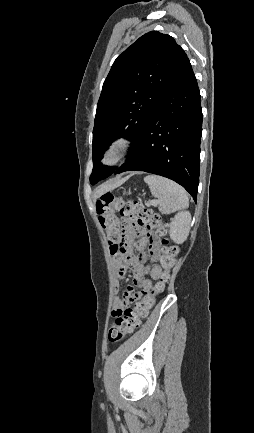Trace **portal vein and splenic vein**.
<instances>
[{
	"label": "portal vein and splenic vein",
	"mask_w": 254,
	"mask_h": 433,
	"mask_svg": "<svg viewBox=\"0 0 254 433\" xmlns=\"http://www.w3.org/2000/svg\"><path fill=\"white\" fill-rule=\"evenodd\" d=\"M157 203H158L157 200H152V201H150L147 205H155V204H157Z\"/></svg>",
	"instance_id": "1"
}]
</instances>
